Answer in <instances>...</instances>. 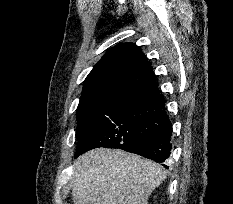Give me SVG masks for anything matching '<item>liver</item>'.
Segmentation results:
<instances>
[{"mask_svg": "<svg viewBox=\"0 0 233 204\" xmlns=\"http://www.w3.org/2000/svg\"><path fill=\"white\" fill-rule=\"evenodd\" d=\"M167 172L151 160L119 149L96 148L74 161V204H148Z\"/></svg>", "mask_w": 233, "mask_h": 204, "instance_id": "6515ba94", "label": "liver"}]
</instances>
